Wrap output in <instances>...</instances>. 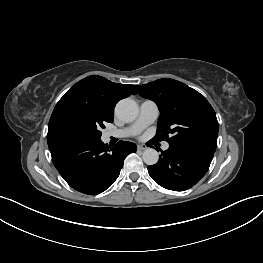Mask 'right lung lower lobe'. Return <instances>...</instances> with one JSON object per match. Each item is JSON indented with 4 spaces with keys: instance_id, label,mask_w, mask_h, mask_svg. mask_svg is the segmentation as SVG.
I'll list each match as a JSON object with an SVG mask.
<instances>
[{
    "instance_id": "obj_1",
    "label": "right lung lower lobe",
    "mask_w": 263,
    "mask_h": 263,
    "mask_svg": "<svg viewBox=\"0 0 263 263\" xmlns=\"http://www.w3.org/2000/svg\"><path fill=\"white\" fill-rule=\"evenodd\" d=\"M50 149L52 161L63 179L75 190L97 195L118 178L124 159L136 152L134 143L119 141L114 147L96 141L64 143Z\"/></svg>"
}]
</instances>
